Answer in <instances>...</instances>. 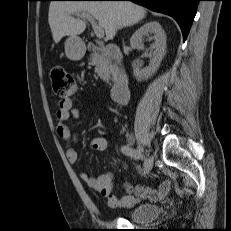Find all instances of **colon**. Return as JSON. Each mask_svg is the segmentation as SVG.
I'll use <instances>...</instances> for the list:
<instances>
[{"mask_svg":"<svg viewBox=\"0 0 231 231\" xmlns=\"http://www.w3.org/2000/svg\"><path fill=\"white\" fill-rule=\"evenodd\" d=\"M51 81L53 92L57 97L66 100L76 95V81L63 67L52 68Z\"/></svg>","mask_w":231,"mask_h":231,"instance_id":"1","label":"colon"}]
</instances>
